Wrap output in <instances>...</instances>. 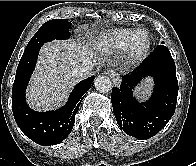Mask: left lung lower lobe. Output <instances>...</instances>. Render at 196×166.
Segmentation results:
<instances>
[{
	"label": "left lung lower lobe",
	"mask_w": 196,
	"mask_h": 166,
	"mask_svg": "<svg viewBox=\"0 0 196 166\" xmlns=\"http://www.w3.org/2000/svg\"><path fill=\"white\" fill-rule=\"evenodd\" d=\"M145 76L154 78L151 98L138 102L132 90ZM176 67L168 48L159 45L133 73L122 77L120 88H113L111 102L120 128L127 135L148 139L156 135L173 116L177 103Z\"/></svg>",
	"instance_id": "obj_1"
}]
</instances>
